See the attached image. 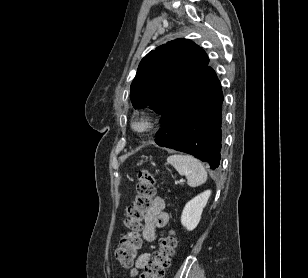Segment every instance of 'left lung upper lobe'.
Here are the masks:
<instances>
[{"instance_id":"left-lung-upper-lobe-1","label":"left lung upper lobe","mask_w":308,"mask_h":278,"mask_svg":"<svg viewBox=\"0 0 308 278\" xmlns=\"http://www.w3.org/2000/svg\"><path fill=\"white\" fill-rule=\"evenodd\" d=\"M207 54L194 42L176 39L150 51L140 62L131 84L135 109L162 114L177 94L208 67Z\"/></svg>"}]
</instances>
